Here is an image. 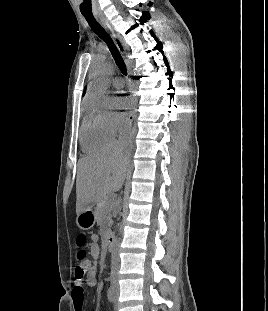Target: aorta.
<instances>
[{
  "instance_id": "1",
  "label": "aorta",
  "mask_w": 268,
  "mask_h": 311,
  "mask_svg": "<svg viewBox=\"0 0 268 311\" xmlns=\"http://www.w3.org/2000/svg\"><path fill=\"white\" fill-rule=\"evenodd\" d=\"M113 69V66L109 62H102L97 64L96 71L98 74V78L95 81L94 89L96 92L103 94L107 90V81H106V75L110 73Z\"/></svg>"
}]
</instances>
